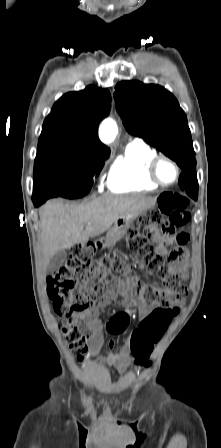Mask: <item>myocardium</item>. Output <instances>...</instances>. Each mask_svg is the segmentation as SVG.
Returning <instances> with one entry per match:
<instances>
[{
  "label": "myocardium",
  "mask_w": 221,
  "mask_h": 448,
  "mask_svg": "<svg viewBox=\"0 0 221 448\" xmlns=\"http://www.w3.org/2000/svg\"><path fill=\"white\" fill-rule=\"evenodd\" d=\"M163 160L168 161L175 168L176 176L172 182H169V183L164 182L161 180V178L158 175V167H159L160 162ZM148 177L153 183H155L156 185H158L160 187H169V186H172L175 183H177V181L179 180L180 167H179L178 163L171 157L166 156V155H157L149 163Z\"/></svg>",
  "instance_id": "1"
}]
</instances>
